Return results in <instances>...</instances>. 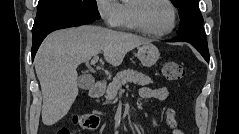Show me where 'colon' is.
<instances>
[{
	"label": "colon",
	"instance_id": "1",
	"mask_svg": "<svg viewBox=\"0 0 239 134\" xmlns=\"http://www.w3.org/2000/svg\"><path fill=\"white\" fill-rule=\"evenodd\" d=\"M161 71L163 77L169 81L181 80L185 76L184 67L175 61H166L163 63ZM75 122L85 129H95L99 124V119L94 115H81L75 119ZM167 122L171 127L176 126L175 112L173 110L168 111ZM58 134H69V132L67 129H62Z\"/></svg>",
	"mask_w": 239,
	"mask_h": 134
}]
</instances>
